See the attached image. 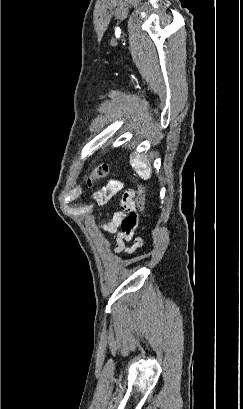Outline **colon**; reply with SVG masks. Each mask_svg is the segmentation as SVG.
Wrapping results in <instances>:
<instances>
[{"mask_svg":"<svg viewBox=\"0 0 243 409\" xmlns=\"http://www.w3.org/2000/svg\"><path fill=\"white\" fill-rule=\"evenodd\" d=\"M108 173V166L107 165H98L94 168L92 173L87 178V185L91 186L94 181L104 178ZM145 199H146V191L142 185H138L136 188V205L138 209L139 215L143 214L145 209ZM138 215V218H139Z\"/></svg>","mask_w":243,"mask_h":409,"instance_id":"1","label":"colon"}]
</instances>
